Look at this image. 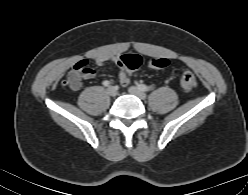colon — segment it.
<instances>
[{
    "mask_svg": "<svg viewBox=\"0 0 248 195\" xmlns=\"http://www.w3.org/2000/svg\"><path fill=\"white\" fill-rule=\"evenodd\" d=\"M119 61L124 69L132 71L143 64L144 58L137 54L128 53L120 56ZM148 63L152 68L164 69L169 66L170 62L166 58H151ZM85 67H87L86 62H78L68 73L63 85L74 90L78 89L85 73ZM180 85L186 92L194 90L197 86L195 74L191 70L185 69L181 74Z\"/></svg>",
    "mask_w": 248,
    "mask_h": 195,
    "instance_id": "obj_1",
    "label": "colon"
}]
</instances>
